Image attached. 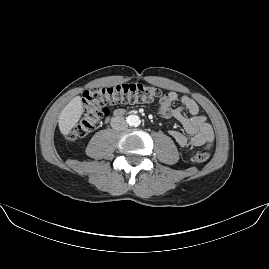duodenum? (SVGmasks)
I'll return each instance as SVG.
<instances>
[{
  "label": "duodenum",
  "instance_id": "duodenum-1",
  "mask_svg": "<svg viewBox=\"0 0 269 269\" xmlns=\"http://www.w3.org/2000/svg\"><path fill=\"white\" fill-rule=\"evenodd\" d=\"M123 114H124V111L121 110V109H117V110L114 111V115H115V116H121V115H123Z\"/></svg>",
  "mask_w": 269,
  "mask_h": 269
}]
</instances>
